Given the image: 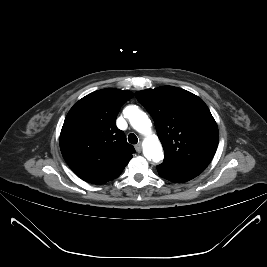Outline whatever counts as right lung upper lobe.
Masks as SVG:
<instances>
[{
    "label": "right lung upper lobe",
    "mask_w": 267,
    "mask_h": 267,
    "mask_svg": "<svg viewBox=\"0 0 267 267\" xmlns=\"http://www.w3.org/2000/svg\"><path fill=\"white\" fill-rule=\"evenodd\" d=\"M132 97L128 90L102 89L79 100L68 112L60 148L66 163L84 181H111L132 158L134 147L116 127L120 107Z\"/></svg>",
    "instance_id": "right-lung-upper-lobe-1"
}]
</instances>
